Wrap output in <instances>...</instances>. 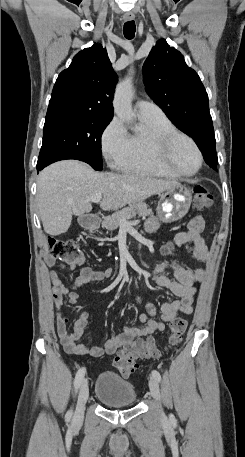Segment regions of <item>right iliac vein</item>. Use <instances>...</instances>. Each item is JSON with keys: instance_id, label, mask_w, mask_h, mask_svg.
Wrapping results in <instances>:
<instances>
[{"instance_id": "63e3f726", "label": "right iliac vein", "mask_w": 245, "mask_h": 457, "mask_svg": "<svg viewBox=\"0 0 245 457\" xmlns=\"http://www.w3.org/2000/svg\"><path fill=\"white\" fill-rule=\"evenodd\" d=\"M88 395H89L88 381H87V379H84L82 381V385L80 387L77 405H76V409H75L74 415H73V422L76 424L80 423L83 419L84 409H85V405H86V402L88 399Z\"/></svg>"}]
</instances>
